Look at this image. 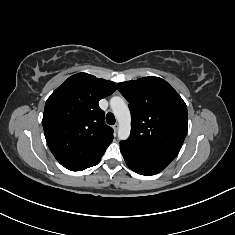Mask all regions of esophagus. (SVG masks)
I'll list each match as a JSON object with an SVG mask.
<instances>
[{
	"instance_id": "esophagus-1",
	"label": "esophagus",
	"mask_w": 235,
	"mask_h": 235,
	"mask_svg": "<svg viewBox=\"0 0 235 235\" xmlns=\"http://www.w3.org/2000/svg\"><path fill=\"white\" fill-rule=\"evenodd\" d=\"M113 129H114L115 131H117V130L119 129V124L116 123V124L113 126Z\"/></svg>"
}]
</instances>
